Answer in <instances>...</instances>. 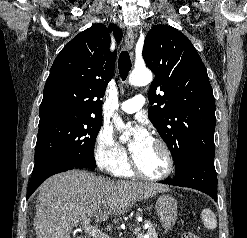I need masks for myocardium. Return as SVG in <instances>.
<instances>
[{
  "label": "myocardium",
  "mask_w": 247,
  "mask_h": 238,
  "mask_svg": "<svg viewBox=\"0 0 247 238\" xmlns=\"http://www.w3.org/2000/svg\"><path fill=\"white\" fill-rule=\"evenodd\" d=\"M152 141L162 150V152L164 153L165 159H166V169L165 171L157 176H153V175H148L146 173H144L143 171H141V169L138 167L134 157L132 156L130 158V169L132 171V173L143 179V180H147V181H163L165 179H167L168 177H170V175L172 174L173 170H174V158L172 155V152L170 150V148L168 147V145L162 141L159 138H152Z\"/></svg>",
  "instance_id": "f54148a6"
}]
</instances>
